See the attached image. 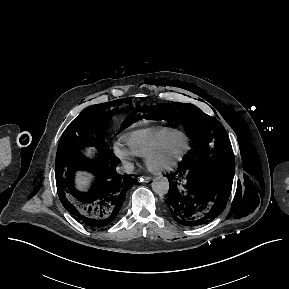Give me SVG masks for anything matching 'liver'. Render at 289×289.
Returning a JSON list of instances; mask_svg holds the SVG:
<instances>
[{
	"mask_svg": "<svg viewBox=\"0 0 289 289\" xmlns=\"http://www.w3.org/2000/svg\"><path fill=\"white\" fill-rule=\"evenodd\" d=\"M90 153H91V151L89 150L88 154H90ZM76 184H77V187L79 189L85 188L88 184V177L80 174L77 178Z\"/></svg>",
	"mask_w": 289,
	"mask_h": 289,
	"instance_id": "liver-1",
	"label": "liver"
}]
</instances>
